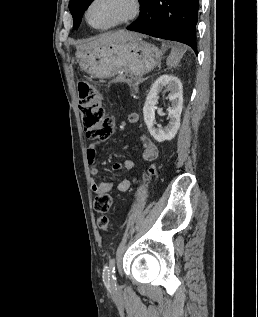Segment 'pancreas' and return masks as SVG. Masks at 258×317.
Returning <instances> with one entry per match:
<instances>
[{
    "instance_id": "cf45deb5",
    "label": "pancreas",
    "mask_w": 258,
    "mask_h": 317,
    "mask_svg": "<svg viewBox=\"0 0 258 317\" xmlns=\"http://www.w3.org/2000/svg\"><path fill=\"white\" fill-rule=\"evenodd\" d=\"M126 82H129V86H131V88H134V90H136V86L137 84H139L140 78H134V76H131V78H127Z\"/></svg>"
}]
</instances>
